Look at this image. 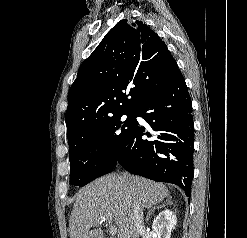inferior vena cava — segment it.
I'll return each instance as SVG.
<instances>
[{"label":"inferior vena cava","mask_w":247,"mask_h":238,"mask_svg":"<svg viewBox=\"0 0 247 238\" xmlns=\"http://www.w3.org/2000/svg\"><path fill=\"white\" fill-rule=\"evenodd\" d=\"M127 178L128 174L124 173ZM133 223H134V237L137 238L139 233L144 229L143 211L140 204L136 201L133 203Z\"/></svg>","instance_id":"obj_1"}]
</instances>
